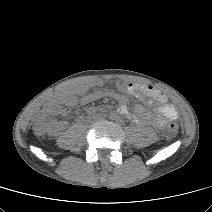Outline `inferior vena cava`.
I'll return each mask as SVG.
<instances>
[{
  "label": "inferior vena cava",
  "mask_w": 212,
  "mask_h": 212,
  "mask_svg": "<svg viewBox=\"0 0 212 212\" xmlns=\"http://www.w3.org/2000/svg\"><path fill=\"white\" fill-rule=\"evenodd\" d=\"M91 119H92L93 121H96V120L98 119V116H97L96 114H93V115L91 116Z\"/></svg>",
  "instance_id": "1"
}]
</instances>
